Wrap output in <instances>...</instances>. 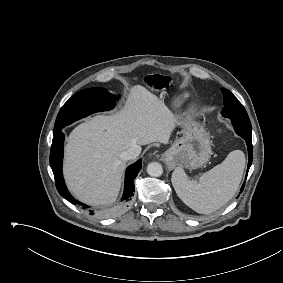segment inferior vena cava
I'll list each match as a JSON object with an SVG mask.
<instances>
[{
  "label": "inferior vena cava",
  "instance_id": "1",
  "mask_svg": "<svg viewBox=\"0 0 283 283\" xmlns=\"http://www.w3.org/2000/svg\"><path fill=\"white\" fill-rule=\"evenodd\" d=\"M141 152V147L139 145H132L127 150L122 152L121 157L123 160L135 159Z\"/></svg>",
  "mask_w": 283,
  "mask_h": 283
}]
</instances>
